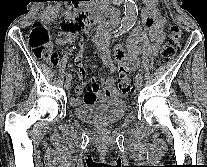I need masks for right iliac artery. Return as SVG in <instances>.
<instances>
[{
    "label": "right iliac artery",
    "mask_w": 207,
    "mask_h": 167,
    "mask_svg": "<svg viewBox=\"0 0 207 167\" xmlns=\"http://www.w3.org/2000/svg\"><path fill=\"white\" fill-rule=\"evenodd\" d=\"M114 35L116 36V35H118V33L114 32ZM110 37H111V34H107V35L105 36L106 39H109ZM66 80H71V75H70V74H68V75L66 76Z\"/></svg>",
    "instance_id": "right-iliac-artery-1"
}]
</instances>
